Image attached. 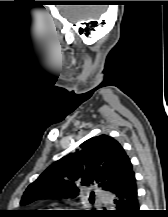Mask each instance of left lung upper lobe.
<instances>
[{
  "label": "left lung upper lobe",
  "mask_w": 168,
  "mask_h": 217,
  "mask_svg": "<svg viewBox=\"0 0 168 217\" xmlns=\"http://www.w3.org/2000/svg\"><path fill=\"white\" fill-rule=\"evenodd\" d=\"M132 164L122 146L107 135L90 138L48 167L23 194L20 204L50 197H77L81 186L113 192L130 177Z\"/></svg>",
  "instance_id": "5c2ea615"
}]
</instances>
